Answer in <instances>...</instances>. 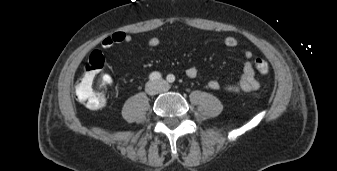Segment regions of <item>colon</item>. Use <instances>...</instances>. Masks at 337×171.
I'll return each mask as SVG.
<instances>
[{
    "label": "colon",
    "mask_w": 337,
    "mask_h": 171,
    "mask_svg": "<svg viewBox=\"0 0 337 171\" xmlns=\"http://www.w3.org/2000/svg\"><path fill=\"white\" fill-rule=\"evenodd\" d=\"M104 59L99 51H94L85 66V71L77 82L75 87V95L77 100L90 109H99L104 105V95L102 87L104 79L102 78V69ZM255 67L261 74L269 71V65L263 58L255 60Z\"/></svg>",
    "instance_id": "5ec220e1"
}]
</instances>
